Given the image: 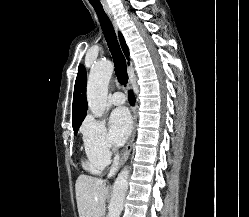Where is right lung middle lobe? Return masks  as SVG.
<instances>
[{"label": "right lung middle lobe", "instance_id": "right-lung-middle-lobe-1", "mask_svg": "<svg viewBox=\"0 0 249 217\" xmlns=\"http://www.w3.org/2000/svg\"><path fill=\"white\" fill-rule=\"evenodd\" d=\"M80 125H81V124H79V125H77V126H74V127H73V130H74V135H76V134H77V131H78V129H79V127H80Z\"/></svg>", "mask_w": 249, "mask_h": 217}]
</instances>
